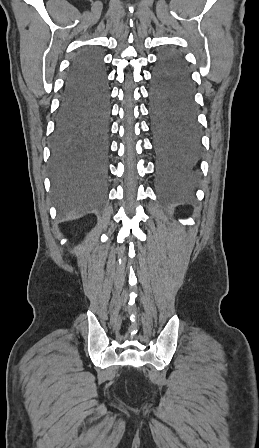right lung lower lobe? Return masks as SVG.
Instances as JSON below:
<instances>
[{"label":"right lung lower lobe","instance_id":"right-lung-lower-lobe-1","mask_svg":"<svg viewBox=\"0 0 259 448\" xmlns=\"http://www.w3.org/2000/svg\"><path fill=\"white\" fill-rule=\"evenodd\" d=\"M100 52L86 48L66 76L51 139L50 169L65 187L102 185L108 175L110 95Z\"/></svg>","mask_w":259,"mask_h":448}]
</instances>
